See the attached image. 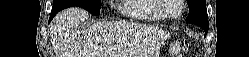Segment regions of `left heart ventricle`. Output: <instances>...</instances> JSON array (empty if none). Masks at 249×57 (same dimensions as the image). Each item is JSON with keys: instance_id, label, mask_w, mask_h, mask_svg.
Here are the masks:
<instances>
[{"instance_id": "1", "label": "left heart ventricle", "mask_w": 249, "mask_h": 57, "mask_svg": "<svg viewBox=\"0 0 249 57\" xmlns=\"http://www.w3.org/2000/svg\"><path fill=\"white\" fill-rule=\"evenodd\" d=\"M170 1V6L167 10L169 15H177L180 11V5L178 3V0H169Z\"/></svg>"}]
</instances>
